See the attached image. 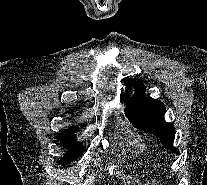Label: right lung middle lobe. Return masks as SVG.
<instances>
[{"mask_svg":"<svg viewBox=\"0 0 207 185\" xmlns=\"http://www.w3.org/2000/svg\"><path fill=\"white\" fill-rule=\"evenodd\" d=\"M72 132H77L78 128H70ZM62 143L66 145L70 151L61 159L60 163L66 165L69 162L77 159L85 151L84 146L81 143H75L76 136L73 133L66 132L64 135L61 134Z\"/></svg>","mask_w":207,"mask_h":185,"instance_id":"dd1d6c3e","label":"right lung middle lobe"}]
</instances>
